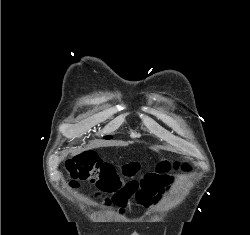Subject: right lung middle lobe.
<instances>
[{
  "label": "right lung middle lobe",
  "instance_id": "dd1d6c3e",
  "mask_svg": "<svg viewBox=\"0 0 250 235\" xmlns=\"http://www.w3.org/2000/svg\"><path fill=\"white\" fill-rule=\"evenodd\" d=\"M111 136H105L104 139H111Z\"/></svg>",
  "mask_w": 250,
  "mask_h": 235
}]
</instances>
